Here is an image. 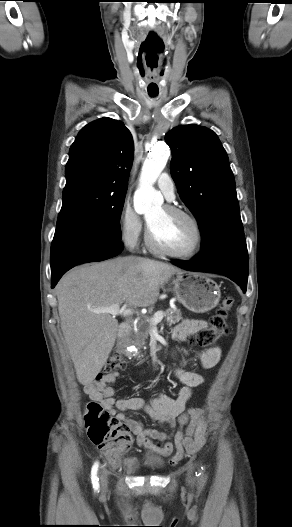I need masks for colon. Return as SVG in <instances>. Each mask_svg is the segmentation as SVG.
I'll use <instances>...</instances> for the list:
<instances>
[{
    "instance_id": "colon-1",
    "label": "colon",
    "mask_w": 292,
    "mask_h": 527,
    "mask_svg": "<svg viewBox=\"0 0 292 527\" xmlns=\"http://www.w3.org/2000/svg\"><path fill=\"white\" fill-rule=\"evenodd\" d=\"M232 305L233 300L226 298L211 317L209 327L198 331L191 338V342L203 347H210L220 338L228 335L231 328L227 318ZM125 368V360L119 353H115L107 360L98 379ZM84 418L90 441L104 452L120 458L130 448L133 439L129 426L112 416L99 401H91L87 404Z\"/></svg>"
}]
</instances>
